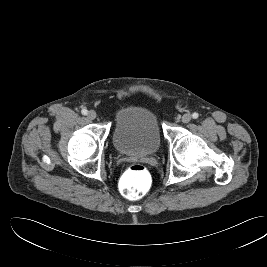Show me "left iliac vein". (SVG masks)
Segmentation results:
<instances>
[{
    "mask_svg": "<svg viewBox=\"0 0 267 267\" xmlns=\"http://www.w3.org/2000/svg\"><path fill=\"white\" fill-rule=\"evenodd\" d=\"M191 115L190 114H184L183 116H182V122H184V123H188V122H190V120H191Z\"/></svg>",
    "mask_w": 267,
    "mask_h": 267,
    "instance_id": "obj_1",
    "label": "left iliac vein"
}]
</instances>
